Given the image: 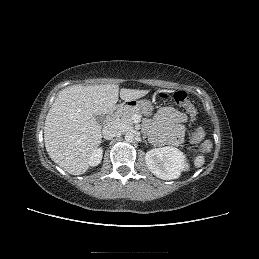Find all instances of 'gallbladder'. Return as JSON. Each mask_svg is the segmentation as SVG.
Masks as SVG:
<instances>
[{
    "instance_id": "obj_1",
    "label": "gallbladder",
    "mask_w": 259,
    "mask_h": 259,
    "mask_svg": "<svg viewBox=\"0 0 259 259\" xmlns=\"http://www.w3.org/2000/svg\"><path fill=\"white\" fill-rule=\"evenodd\" d=\"M95 119H96V121H97L99 124H101V123H103V121H104V116H103V115H96V116H95Z\"/></svg>"
}]
</instances>
